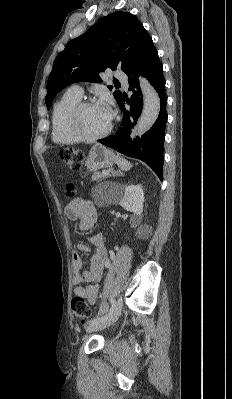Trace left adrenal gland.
<instances>
[{
	"label": "left adrenal gland",
	"instance_id": "left-adrenal-gland-1",
	"mask_svg": "<svg viewBox=\"0 0 232 399\" xmlns=\"http://www.w3.org/2000/svg\"><path fill=\"white\" fill-rule=\"evenodd\" d=\"M112 176H124V174H122V172H115V170H113V172H111Z\"/></svg>",
	"mask_w": 232,
	"mask_h": 399
}]
</instances>
